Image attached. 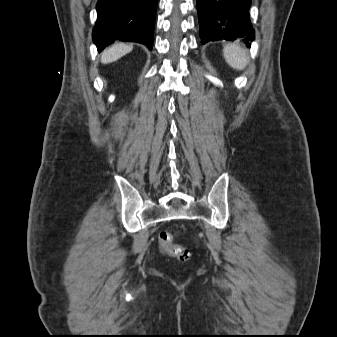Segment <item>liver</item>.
I'll return each mask as SVG.
<instances>
[{
    "instance_id": "1",
    "label": "liver",
    "mask_w": 337,
    "mask_h": 337,
    "mask_svg": "<svg viewBox=\"0 0 337 337\" xmlns=\"http://www.w3.org/2000/svg\"><path fill=\"white\" fill-rule=\"evenodd\" d=\"M132 49V45L125 43H115L102 53L101 62L104 64L114 62L127 53L131 52Z\"/></svg>"
}]
</instances>
